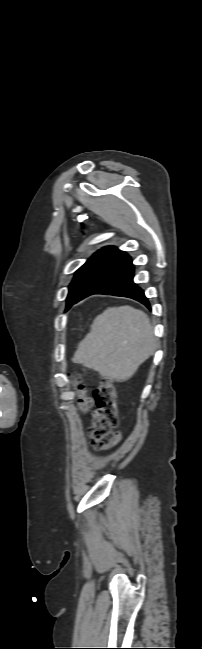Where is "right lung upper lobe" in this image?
I'll return each instance as SVG.
<instances>
[{
  "label": "right lung upper lobe",
  "mask_w": 202,
  "mask_h": 649,
  "mask_svg": "<svg viewBox=\"0 0 202 649\" xmlns=\"http://www.w3.org/2000/svg\"><path fill=\"white\" fill-rule=\"evenodd\" d=\"M124 253L125 252H122V251L118 250L117 248H115L113 246H107V247H104V248L100 249L95 254H107V255L120 256V255H122Z\"/></svg>",
  "instance_id": "right-lung-upper-lobe-1"
}]
</instances>
